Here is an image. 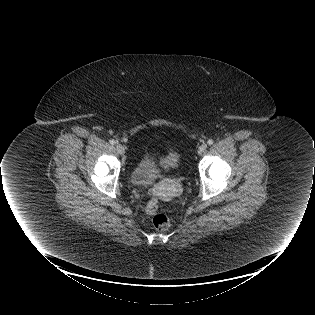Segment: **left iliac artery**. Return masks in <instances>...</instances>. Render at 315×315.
Returning a JSON list of instances; mask_svg holds the SVG:
<instances>
[{"mask_svg":"<svg viewBox=\"0 0 315 315\" xmlns=\"http://www.w3.org/2000/svg\"><path fill=\"white\" fill-rule=\"evenodd\" d=\"M207 143H208V145H212L214 143V141L212 139H209Z\"/></svg>","mask_w":315,"mask_h":315,"instance_id":"44dca946","label":"left iliac artery"}]
</instances>
